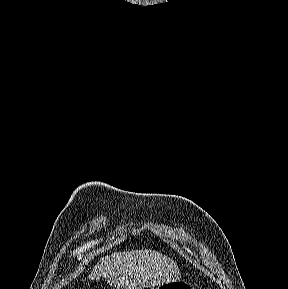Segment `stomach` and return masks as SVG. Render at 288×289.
Segmentation results:
<instances>
[{"label": "stomach", "instance_id": "0dacf381", "mask_svg": "<svg viewBox=\"0 0 288 289\" xmlns=\"http://www.w3.org/2000/svg\"><path fill=\"white\" fill-rule=\"evenodd\" d=\"M156 289H193V288L189 283L184 282L182 280H177L158 285Z\"/></svg>", "mask_w": 288, "mask_h": 289}]
</instances>
